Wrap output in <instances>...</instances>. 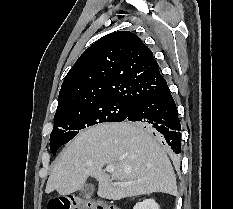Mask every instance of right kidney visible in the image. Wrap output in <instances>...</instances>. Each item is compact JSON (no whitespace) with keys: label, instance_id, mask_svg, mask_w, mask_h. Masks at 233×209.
I'll list each match as a JSON object with an SVG mask.
<instances>
[{"label":"right kidney","instance_id":"1","mask_svg":"<svg viewBox=\"0 0 233 209\" xmlns=\"http://www.w3.org/2000/svg\"><path fill=\"white\" fill-rule=\"evenodd\" d=\"M133 209H160L158 203L154 199H145L138 202Z\"/></svg>","mask_w":233,"mask_h":209}]
</instances>
